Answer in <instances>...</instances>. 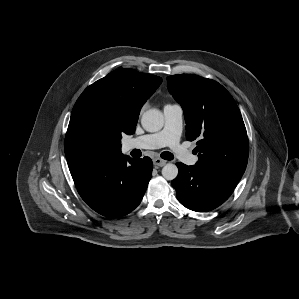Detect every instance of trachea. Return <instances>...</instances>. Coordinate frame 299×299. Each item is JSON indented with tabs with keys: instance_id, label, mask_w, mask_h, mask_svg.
<instances>
[{
	"instance_id": "trachea-1",
	"label": "trachea",
	"mask_w": 299,
	"mask_h": 299,
	"mask_svg": "<svg viewBox=\"0 0 299 299\" xmlns=\"http://www.w3.org/2000/svg\"><path fill=\"white\" fill-rule=\"evenodd\" d=\"M160 156H161V158H163L165 160H173L174 159L173 154L168 151L162 152Z\"/></svg>"
}]
</instances>
